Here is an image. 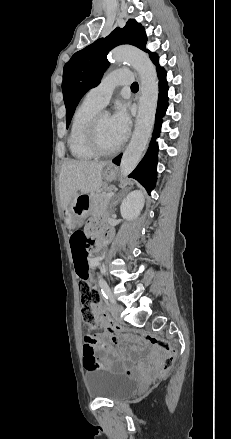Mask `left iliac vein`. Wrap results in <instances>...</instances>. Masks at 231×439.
<instances>
[{
    "label": "left iliac vein",
    "instance_id": "4c4485c4",
    "mask_svg": "<svg viewBox=\"0 0 231 439\" xmlns=\"http://www.w3.org/2000/svg\"><path fill=\"white\" fill-rule=\"evenodd\" d=\"M110 302H111L110 311H111L113 318L119 322H122V319L120 317V313L123 310V307L116 304L115 301L114 302L110 301Z\"/></svg>",
    "mask_w": 231,
    "mask_h": 439
}]
</instances>
